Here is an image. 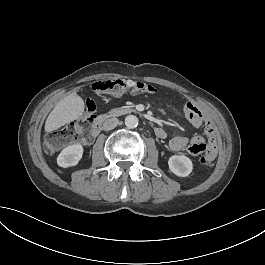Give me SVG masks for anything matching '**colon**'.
<instances>
[{"label":"colon","mask_w":265,"mask_h":265,"mask_svg":"<svg viewBox=\"0 0 265 265\" xmlns=\"http://www.w3.org/2000/svg\"><path fill=\"white\" fill-rule=\"evenodd\" d=\"M92 90L97 94H106L113 98H118L124 94H145L154 91V86L141 81H129L124 79H99L92 83ZM94 109V104H91L89 110ZM80 123L85 126L82 120ZM76 138V131L72 124L59 128L57 131L49 134L46 139V149L48 153H54L60 146L71 142ZM208 154L200 158V163L205 166H210L213 161L206 159Z\"/></svg>","instance_id":"colon-1"}]
</instances>
